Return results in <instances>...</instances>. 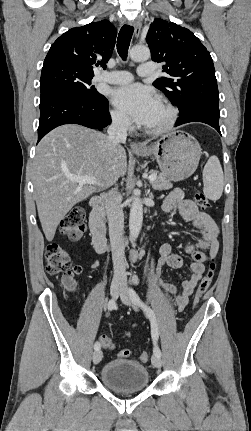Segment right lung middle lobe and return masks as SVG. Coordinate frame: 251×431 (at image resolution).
<instances>
[{"label": "right lung middle lobe", "mask_w": 251, "mask_h": 431, "mask_svg": "<svg viewBox=\"0 0 251 431\" xmlns=\"http://www.w3.org/2000/svg\"><path fill=\"white\" fill-rule=\"evenodd\" d=\"M94 74L85 72L68 63H54L42 69L41 94L49 91H63L85 99L102 100L95 86L91 85Z\"/></svg>", "instance_id": "1"}]
</instances>
